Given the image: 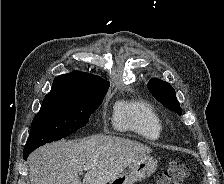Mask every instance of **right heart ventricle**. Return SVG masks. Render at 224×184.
Returning a JSON list of instances; mask_svg holds the SVG:
<instances>
[{
    "instance_id": "obj_1",
    "label": "right heart ventricle",
    "mask_w": 224,
    "mask_h": 184,
    "mask_svg": "<svg viewBox=\"0 0 224 184\" xmlns=\"http://www.w3.org/2000/svg\"><path fill=\"white\" fill-rule=\"evenodd\" d=\"M113 124L121 131H132L146 140H159L164 130L161 116L141 100L121 101L116 104Z\"/></svg>"
}]
</instances>
